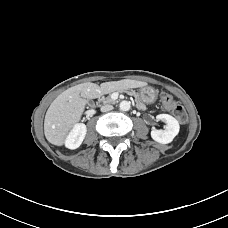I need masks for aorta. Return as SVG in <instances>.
Segmentation results:
<instances>
[{"mask_svg":"<svg viewBox=\"0 0 228 228\" xmlns=\"http://www.w3.org/2000/svg\"><path fill=\"white\" fill-rule=\"evenodd\" d=\"M119 107L122 111H128L130 109V102L126 100L121 101Z\"/></svg>","mask_w":228,"mask_h":228,"instance_id":"762f6f07","label":"aorta"}]
</instances>
